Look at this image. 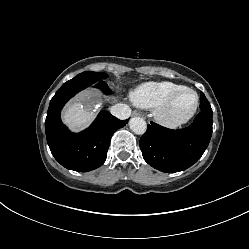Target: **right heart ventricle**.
Here are the masks:
<instances>
[{
  "mask_svg": "<svg viewBox=\"0 0 249 249\" xmlns=\"http://www.w3.org/2000/svg\"><path fill=\"white\" fill-rule=\"evenodd\" d=\"M182 85L172 81H149L139 85L131 92V100L141 108L153 109Z\"/></svg>",
  "mask_w": 249,
  "mask_h": 249,
  "instance_id": "e07e8e85",
  "label": "right heart ventricle"
}]
</instances>
